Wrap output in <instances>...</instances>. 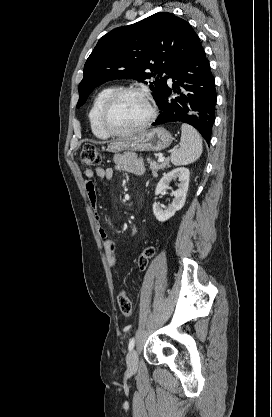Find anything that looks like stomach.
Instances as JSON below:
<instances>
[{
    "label": "stomach",
    "instance_id": "obj_1",
    "mask_svg": "<svg viewBox=\"0 0 272 417\" xmlns=\"http://www.w3.org/2000/svg\"><path fill=\"white\" fill-rule=\"evenodd\" d=\"M173 137L163 127H156L142 131L130 138L110 144L107 148L110 152L121 150L129 151H161L172 143Z\"/></svg>",
    "mask_w": 272,
    "mask_h": 417
}]
</instances>
